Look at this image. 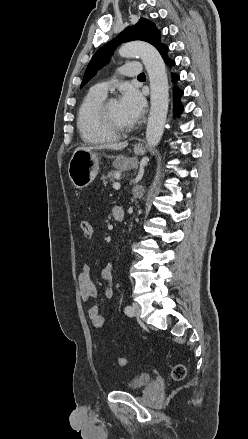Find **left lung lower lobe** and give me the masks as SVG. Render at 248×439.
I'll list each match as a JSON object with an SVG mask.
<instances>
[{
    "label": "left lung lower lobe",
    "mask_w": 248,
    "mask_h": 439,
    "mask_svg": "<svg viewBox=\"0 0 248 439\" xmlns=\"http://www.w3.org/2000/svg\"><path fill=\"white\" fill-rule=\"evenodd\" d=\"M166 46H164L159 52L161 54V56L163 57V59L165 60V62H167L169 65L174 64V62L170 61L166 55ZM173 81H177L179 80V76L178 75H173ZM183 95V91H181L178 88H174V96H175V113L176 115H179L182 110L183 107L179 101L180 96Z\"/></svg>",
    "instance_id": "1"
}]
</instances>
